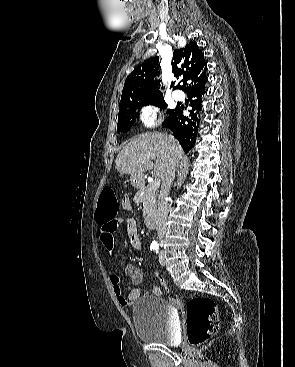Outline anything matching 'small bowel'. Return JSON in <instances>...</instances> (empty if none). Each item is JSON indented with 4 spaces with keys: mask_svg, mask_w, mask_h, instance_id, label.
<instances>
[{
    "mask_svg": "<svg viewBox=\"0 0 295 367\" xmlns=\"http://www.w3.org/2000/svg\"><path fill=\"white\" fill-rule=\"evenodd\" d=\"M122 207L125 210H131L130 199L127 196L122 200ZM124 222L127 225V235L132 247L137 250L142 248V240L136 220L134 218H116L110 222L99 223V239L110 254H113L115 249L114 233L118 226ZM124 272L128 276L129 281L133 286L127 296L123 295L122 288L120 286L121 278L118 274H112L109 279L118 303L122 307H129L141 296V289L139 288V285L143 280V271L133 264L126 263L124 265ZM151 293L153 295H161L162 291L160 287L154 286L151 290Z\"/></svg>",
    "mask_w": 295,
    "mask_h": 367,
    "instance_id": "obj_1",
    "label": "small bowel"
}]
</instances>
